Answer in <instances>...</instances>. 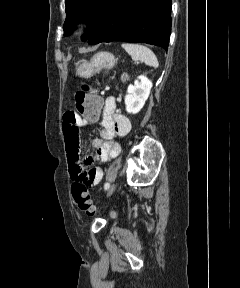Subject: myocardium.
<instances>
[{"instance_id":"obj_1","label":"myocardium","mask_w":240,"mask_h":288,"mask_svg":"<svg viewBox=\"0 0 240 288\" xmlns=\"http://www.w3.org/2000/svg\"><path fill=\"white\" fill-rule=\"evenodd\" d=\"M88 25H89V18L84 16V17L79 18L75 22L74 28L77 31H83V30H85L88 27Z\"/></svg>"}]
</instances>
